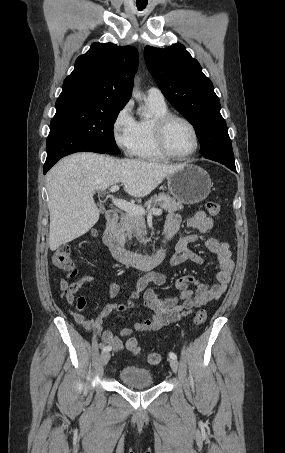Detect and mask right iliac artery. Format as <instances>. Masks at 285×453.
Returning a JSON list of instances; mask_svg holds the SVG:
<instances>
[{"instance_id":"obj_1","label":"right iliac artery","mask_w":285,"mask_h":453,"mask_svg":"<svg viewBox=\"0 0 285 453\" xmlns=\"http://www.w3.org/2000/svg\"><path fill=\"white\" fill-rule=\"evenodd\" d=\"M102 347H103V351H110V350H111V348L108 347V346H104V345H103Z\"/></svg>"}]
</instances>
